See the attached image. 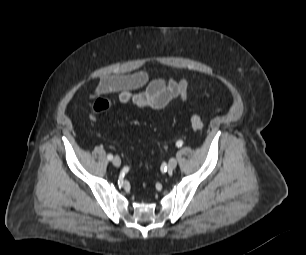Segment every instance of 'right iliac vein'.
Here are the masks:
<instances>
[{"instance_id": "obj_1", "label": "right iliac vein", "mask_w": 306, "mask_h": 255, "mask_svg": "<svg viewBox=\"0 0 306 255\" xmlns=\"http://www.w3.org/2000/svg\"><path fill=\"white\" fill-rule=\"evenodd\" d=\"M112 162H113V165L116 166V167H119L121 165V159L118 156H115L113 158Z\"/></svg>"}]
</instances>
